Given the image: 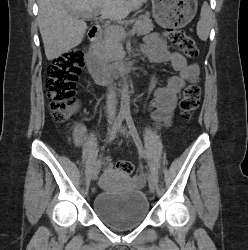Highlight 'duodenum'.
<instances>
[{
	"instance_id": "410a0bca",
	"label": "duodenum",
	"mask_w": 248,
	"mask_h": 250,
	"mask_svg": "<svg viewBox=\"0 0 248 250\" xmlns=\"http://www.w3.org/2000/svg\"><path fill=\"white\" fill-rule=\"evenodd\" d=\"M102 27L94 24L88 31L89 47L85 55V64L99 84H106L116 78L126 76L134 67L133 60H123L114 64H105L97 54Z\"/></svg>"
}]
</instances>
